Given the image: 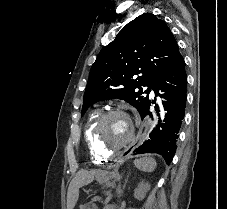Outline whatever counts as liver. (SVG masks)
I'll return each mask as SVG.
<instances>
[{
    "instance_id": "6515ba94",
    "label": "liver",
    "mask_w": 227,
    "mask_h": 209,
    "mask_svg": "<svg viewBox=\"0 0 227 209\" xmlns=\"http://www.w3.org/2000/svg\"><path fill=\"white\" fill-rule=\"evenodd\" d=\"M94 173H91V171H84V169H81V171H78L76 177H74L73 181H71L67 193V209H74L75 203L78 199V189H74L76 183L78 181H87V179H93Z\"/></svg>"
}]
</instances>
